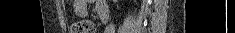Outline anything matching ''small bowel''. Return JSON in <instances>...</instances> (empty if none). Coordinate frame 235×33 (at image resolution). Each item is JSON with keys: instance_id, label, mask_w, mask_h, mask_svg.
Masks as SVG:
<instances>
[{"instance_id": "obj_1", "label": "small bowel", "mask_w": 235, "mask_h": 33, "mask_svg": "<svg viewBox=\"0 0 235 33\" xmlns=\"http://www.w3.org/2000/svg\"><path fill=\"white\" fill-rule=\"evenodd\" d=\"M87 0H78L74 3V8L78 13H84L87 9ZM95 10L98 15L103 18L106 16L108 18V7L107 4L102 0L95 1ZM105 33H114V26L110 25L106 28Z\"/></svg>"}]
</instances>
